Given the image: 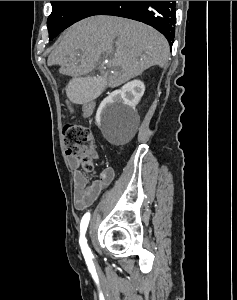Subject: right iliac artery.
Masks as SVG:
<instances>
[{"label": "right iliac artery", "instance_id": "right-iliac-artery-1", "mask_svg": "<svg viewBox=\"0 0 237 300\" xmlns=\"http://www.w3.org/2000/svg\"><path fill=\"white\" fill-rule=\"evenodd\" d=\"M90 220V213H86L80 223V239L79 243L81 246L82 253L84 255V258L86 259V262H91L93 255L91 253V249L87 245V240L85 238V233L89 224Z\"/></svg>", "mask_w": 237, "mask_h": 300}]
</instances>
